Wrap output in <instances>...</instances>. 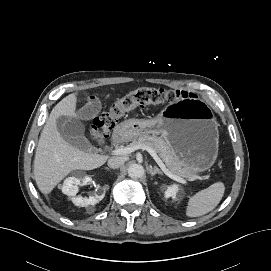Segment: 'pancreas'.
Returning a JSON list of instances; mask_svg holds the SVG:
<instances>
[{
	"label": "pancreas",
	"mask_w": 271,
	"mask_h": 271,
	"mask_svg": "<svg viewBox=\"0 0 271 271\" xmlns=\"http://www.w3.org/2000/svg\"><path fill=\"white\" fill-rule=\"evenodd\" d=\"M137 145H147L154 149L159 156L165 161L168 170L180 177H194L195 172H192L190 167L184 164L175 154L171 145L163 140L161 137L155 135L144 134L139 138L132 140L130 147Z\"/></svg>",
	"instance_id": "pancreas-1"
}]
</instances>
